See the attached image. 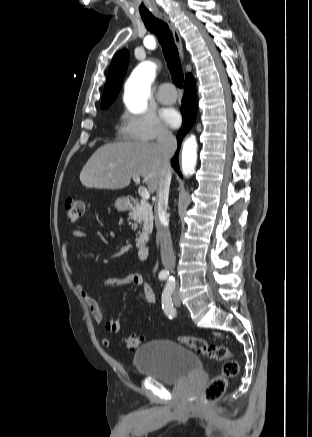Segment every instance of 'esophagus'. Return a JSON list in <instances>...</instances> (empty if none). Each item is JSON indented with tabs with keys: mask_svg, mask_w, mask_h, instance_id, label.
Here are the masks:
<instances>
[{
	"mask_svg": "<svg viewBox=\"0 0 312 437\" xmlns=\"http://www.w3.org/2000/svg\"><path fill=\"white\" fill-rule=\"evenodd\" d=\"M158 16L160 17L161 20H163L169 26V29L171 30V32L173 34L175 44L178 47L180 56L183 59L184 58L183 45H182L181 37L179 35V32H178L176 26L174 25V23L172 22V20L170 19V17L168 15H166L164 13H158Z\"/></svg>",
	"mask_w": 312,
	"mask_h": 437,
	"instance_id": "34e87169",
	"label": "esophagus"
}]
</instances>
